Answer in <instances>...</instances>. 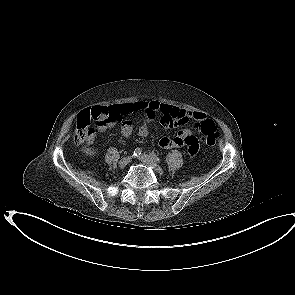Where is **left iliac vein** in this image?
I'll use <instances>...</instances> for the list:
<instances>
[{
	"mask_svg": "<svg viewBox=\"0 0 295 295\" xmlns=\"http://www.w3.org/2000/svg\"><path fill=\"white\" fill-rule=\"evenodd\" d=\"M138 159L146 165L153 167L158 172H162V168L147 154H142Z\"/></svg>",
	"mask_w": 295,
	"mask_h": 295,
	"instance_id": "1",
	"label": "left iliac vein"
}]
</instances>
